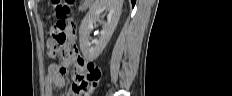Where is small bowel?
Here are the masks:
<instances>
[{
	"mask_svg": "<svg viewBox=\"0 0 232 96\" xmlns=\"http://www.w3.org/2000/svg\"><path fill=\"white\" fill-rule=\"evenodd\" d=\"M67 35H71L70 37L73 39L80 32V27H78L77 19H68L67 24ZM55 48V44L51 41L47 43V49L53 50ZM74 60H78V57H73ZM95 63H84V68H95ZM65 74L66 69L64 67H59L52 65L49 67L45 81H46V95L51 96L53 90L55 88H62L65 85ZM80 89L76 82H74L68 91V96H80Z\"/></svg>",
	"mask_w": 232,
	"mask_h": 96,
	"instance_id": "c3829d8e",
	"label": "small bowel"
}]
</instances>
